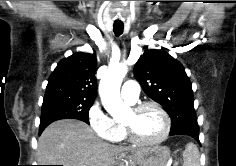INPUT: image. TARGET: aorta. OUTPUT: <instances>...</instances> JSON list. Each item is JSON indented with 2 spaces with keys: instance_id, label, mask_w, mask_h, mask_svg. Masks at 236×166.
Segmentation results:
<instances>
[{
  "instance_id": "aorta-1",
  "label": "aorta",
  "mask_w": 236,
  "mask_h": 166,
  "mask_svg": "<svg viewBox=\"0 0 236 166\" xmlns=\"http://www.w3.org/2000/svg\"><path fill=\"white\" fill-rule=\"evenodd\" d=\"M127 71L124 64L111 66L99 84L102 104L113 118H119L129 110V106L120 97V86Z\"/></svg>"
}]
</instances>
